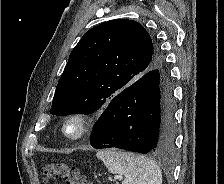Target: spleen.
Returning a JSON list of instances; mask_svg holds the SVG:
<instances>
[{"instance_id":"3e777b00","label":"spleen","mask_w":224,"mask_h":184,"mask_svg":"<svg viewBox=\"0 0 224 184\" xmlns=\"http://www.w3.org/2000/svg\"><path fill=\"white\" fill-rule=\"evenodd\" d=\"M110 173L124 175L122 184H162V172L152 160L134 153L102 150L96 153Z\"/></svg>"}]
</instances>
